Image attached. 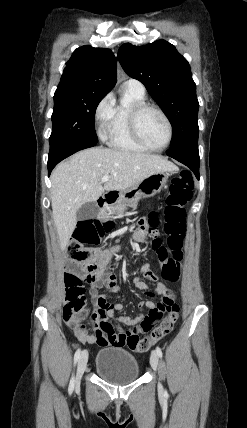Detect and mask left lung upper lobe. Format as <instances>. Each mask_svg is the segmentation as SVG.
I'll list each match as a JSON object with an SVG mask.
<instances>
[{"mask_svg": "<svg viewBox=\"0 0 247 428\" xmlns=\"http://www.w3.org/2000/svg\"><path fill=\"white\" fill-rule=\"evenodd\" d=\"M118 58L124 71L145 85L168 116L174 130L171 149L198 145L196 85L189 64L175 46L165 40L144 46L125 43Z\"/></svg>", "mask_w": 247, "mask_h": 428, "instance_id": "left-lung-upper-lobe-1", "label": "left lung upper lobe"}]
</instances>
